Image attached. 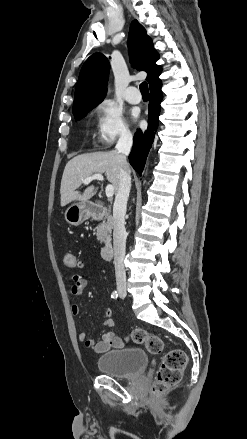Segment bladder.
I'll use <instances>...</instances> for the list:
<instances>
[{
    "label": "bladder",
    "mask_w": 247,
    "mask_h": 439,
    "mask_svg": "<svg viewBox=\"0 0 247 439\" xmlns=\"http://www.w3.org/2000/svg\"><path fill=\"white\" fill-rule=\"evenodd\" d=\"M147 353L139 348L111 350L97 360L100 372L120 379H133L140 376L148 366Z\"/></svg>",
    "instance_id": "obj_1"
}]
</instances>
